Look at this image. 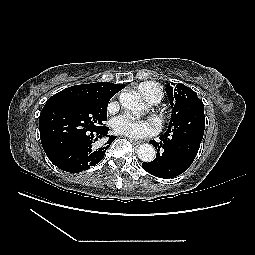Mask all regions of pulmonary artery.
<instances>
[{
    "label": "pulmonary artery",
    "mask_w": 255,
    "mask_h": 255,
    "mask_svg": "<svg viewBox=\"0 0 255 255\" xmlns=\"http://www.w3.org/2000/svg\"><path fill=\"white\" fill-rule=\"evenodd\" d=\"M148 102L150 104H157L160 100L155 95V90L152 87H148Z\"/></svg>",
    "instance_id": "obj_1"
}]
</instances>
